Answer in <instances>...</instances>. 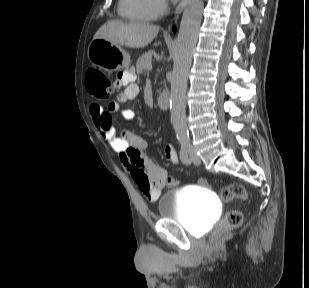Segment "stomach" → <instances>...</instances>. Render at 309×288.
<instances>
[{
    "mask_svg": "<svg viewBox=\"0 0 309 288\" xmlns=\"http://www.w3.org/2000/svg\"><path fill=\"white\" fill-rule=\"evenodd\" d=\"M87 56L93 65L105 71L120 70L130 64L129 54L105 38H94L88 46Z\"/></svg>",
    "mask_w": 309,
    "mask_h": 288,
    "instance_id": "0dacf381",
    "label": "stomach"
}]
</instances>
